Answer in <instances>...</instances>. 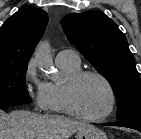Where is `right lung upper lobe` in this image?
Segmentation results:
<instances>
[{
  "label": "right lung upper lobe",
  "mask_w": 141,
  "mask_h": 139,
  "mask_svg": "<svg viewBox=\"0 0 141 139\" xmlns=\"http://www.w3.org/2000/svg\"><path fill=\"white\" fill-rule=\"evenodd\" d=\"M48 22L47 13L21 7L0 27V64L28 63Z\"/></svg>",
  "instance_id": "1"
}]
</instances>
